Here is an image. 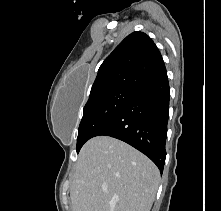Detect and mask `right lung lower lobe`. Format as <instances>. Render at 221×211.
Returning a JSON list of instances; mask_svg holds the SVG:
<instances>
[{
	"mask_svg": "<svg viewBox=\"0 0 221 211\" xmlns=\"http://www.w3.org/2000/svg\"><path fill=\"white\" fill-rule=\"evenodd\" d=\"M167 74L136 86L122 108L95 134L120 139L149 157L162 173L169 118Z\"/></svg>",
	"mask_w": 221,
	"mask_h": 211,
	"instance_id": "1",
	"label": "right lung lower lobe"
}]
</instances>
